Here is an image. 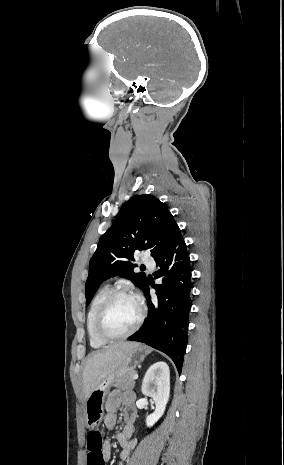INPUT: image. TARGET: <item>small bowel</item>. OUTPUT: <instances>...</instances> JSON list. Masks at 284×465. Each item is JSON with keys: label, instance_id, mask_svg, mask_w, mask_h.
<instances>
[{"label": "small bowel", "instance_id": "c3829d8e", "mask_svg": "<svg viewBox=\"0 0 284 465\" xmlns=\"http://www.w3.org/2000/svg\"><path fill=\"white\" fill-rule=\"evenodd\" d=\"M135 400L133 392H121L118 389L111 391L106 400V415L104 423L106 427L113 428L118 420V411L122 409L124 419L123 429L116 435V439L121 446L119 458L121 465L129 458L132 450L137 444L136 438L133 437V423L136 419V411L132 407ZM103 455L105 460L111 457L112 447L107 439L103 444Z\"/></svg>", "mask_w": 284, "mask_h": 465}]
</instances>
